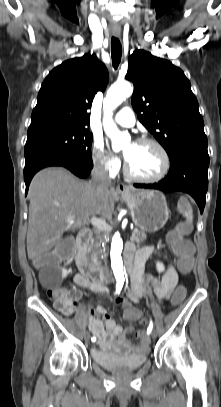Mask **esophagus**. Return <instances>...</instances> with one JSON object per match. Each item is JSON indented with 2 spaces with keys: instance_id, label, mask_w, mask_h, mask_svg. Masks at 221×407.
I'll return each instance as SVG.
<instances>
[{
  "instance_id": "obj_1",
  "label": "esophagus",
  "mask_w": 221,
  "mask_h": 407,
  "mask_svg": "<svg viewBox=\"0 0 221 407\" xmlns=\"http://www.w3.org/2000/svg\"><path fill=\"white\" fill-rule=\"evenodd\" d=\"M116 191L120 194H126L129 192V188L124 184H118L116 187Z\"/></svg>"
}]
</instances>
